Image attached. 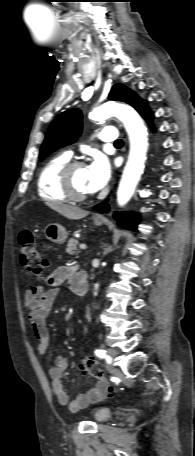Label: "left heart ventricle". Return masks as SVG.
I'll return each mask as SVG.
<instances>
[{
  "instance_id": "left-heart-ventricle-1",
  "label": "left heart ventricle",
  "mask_w": 195,
  "mask_h": 456,
  "mask_svg": "<svg viewBox=\"0 0 195 456\" xmlns=\"http://www.w3.org/2000/svg\"><path fill=\"white\" fill-rule=\"evenodd\" d=\"M73 184L76 190L82 193H90L87 188L86 168H78L73 173Z\"/></svg>"
}]
</instances>
